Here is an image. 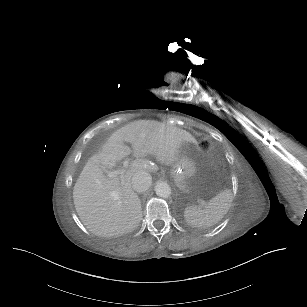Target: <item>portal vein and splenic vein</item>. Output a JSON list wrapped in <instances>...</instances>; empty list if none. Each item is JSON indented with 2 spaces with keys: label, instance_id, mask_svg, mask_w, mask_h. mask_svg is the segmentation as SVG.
<instances>
[{
  "label": "portal vein and splenic vein",
  "instance_id": "obj_1",
  "mask_svg": "<svg viewBox=\"0 0 307 307\" xmlns=\"http://www.w3.org/2000/svg\"><path fill=\"white\" fill-rule=\"evenodd\" d=\"M129 163H130V159L128 157H125L123 159V162L121 163V166L123 168H126L129 165ZM120 174H123V171H121V172L120 171H109L108 177H115V176L120 175Z\"/></svg>",
  "mask_w": 307,
  "mask_h": 307
}]
</instances>
